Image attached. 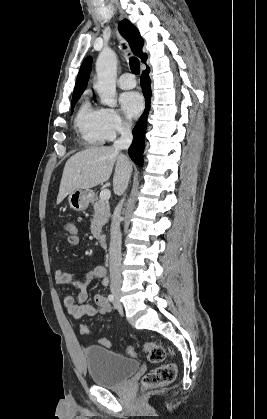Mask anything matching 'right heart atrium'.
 <instances>
[{
	"mask_svg": "<svg viewBox=\"0 0 267 419\" xmlns=\"http://www.w3.org/2000/svg\"><path fill=\"white\" fill-rule=\"evenodd\" d=\"M101 126L106 140H113L129 129V122L113 108H101Z\"/></svg>",
	"mask_w": 267,
	"mask_h": 419,
	"instance_id": "right-heart-atrium-1",
	"label": "right heart atrium"
}]
</instances>
